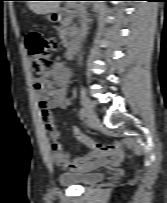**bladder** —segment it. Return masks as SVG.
<instances>
[{"instance_id": "obj_1", "label": "bladder", "mask_w": 167, "mask_h": 203, "mask_svg": "<svg viewBox=\"0 0 167 203\" xmlns=\"http://www.w3.org/2000/svg\"><path fill=\"white\" fill-rule=\"evenodd\" d=\"M105 175L102 172H65L57 176L60 184L65 186L88 185L101 182Z\"/></svg>"}]
</instances>
